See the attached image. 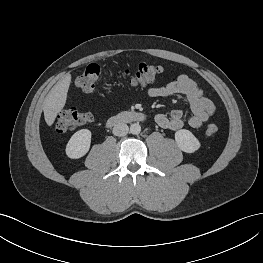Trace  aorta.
<instances>
[{
    "instance_id": "762f6f07",
    "label": "aorta",
    "mask_w": 263,
    "mask_h": 263,
    "mask_svg": "<svg viewBox=\"0 0 263 263\" xmlns=\"http://www.w3.org/2000/svg\"><path fill=\"white\" fill-rule=\"evenodd\" d=\"M130 132L134 135H137L141 132V126L139 123H133L130 126Z\"/></svg>"
}]
</instances>
